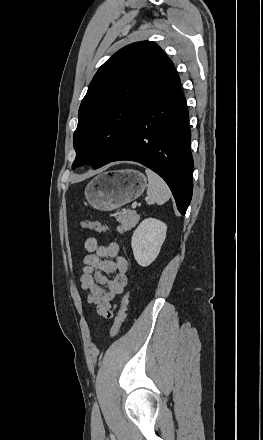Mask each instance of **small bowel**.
Masks as SVG:
<instances>
[{
    "mask_svg": "<svg viewBox=\"0 0 263 440\" xmlns=\"http://www.w3.org/2000/svg\"><path fill=\"white\" fill-rule=\"evenodd\" d=\"M84 245L89 253L83 258L81 288L87 291V300L95 306L96 314L109 320L114 314V300L128 284V262L119 254L115 242L104 246L97 239L88 238ZM110 273H116L112 279L106 276Z\"/></svg>",
    "mask_w": 263,
    "mask_h": 440,
    "instance_id": "obj_1",
    "label": "small bowel"
}]
</instances>
